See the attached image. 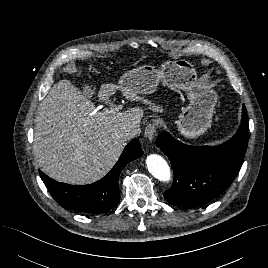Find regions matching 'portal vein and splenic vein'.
I'll return each instance as SVG.
<instances>
[{
	"mask_svg": "<svg viewBox=\"0 0 268 268\" xmlns=\"http://www.w3.org/2000/svg\"><path fill=\"white\" fill-rule=\"evenodd\" d=\"M96 113V112H95ZM102 114H107L109 113V111L107 109H104L103 112H101Z\"/></svg>",
	"mask_w": 268,
	"mask_h": 268,
	"instance_id": "1",
	"label": "portal vein and splenic vein"
}]
</instances>
